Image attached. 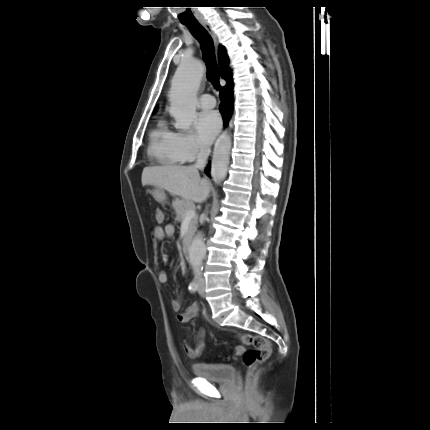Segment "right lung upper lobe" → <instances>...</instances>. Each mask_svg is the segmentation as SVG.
<instances>
[{
  "label": "right lung upper lobe",
  "mask_w": 430,
  "mask_h": 430,
  "mask_svg": "<svg viewBox=\"0 0 430 430\" xmlns=\"http://www.w3.org/2000/svg\"><path fill=\"white\" fill-rule=\"evenodd\" d=\"M218 58H219V66H220L221 77L223 79H225L226 82H227L226 86H224V87L232 85L233 84L232 83V79H231L232 75L230 74V72L228 70L229 58L227 56V53H226V50H225L224 47H220L219 48Z\"/></svg>",
  "instance_id": "cb5924a9"
}]
</instances>
